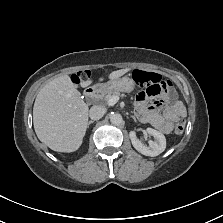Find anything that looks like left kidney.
Listing matches in <instances>:
<instances>
[{
  "instance_id": "left-kidney-1",
  "label": "left kidney",
  "mask_w": 223,
  "mask_h": 223,
  "mask_svg": "<svg viewBox=\"0 0 223 223\" xmlns=\"http://www.w3.org/2000/svg\"><path fill=\"white\" fill-rule=\"evenodd\" d=\"M146 131L149 135L154 137L153 141H149V146H145L139 139H137L134 131L129 133L132 145L138 152L143 155L151 157L158 156L166 148V138L161 132L155 129L147 128Z\"/></svg>"
}]
</instances>
